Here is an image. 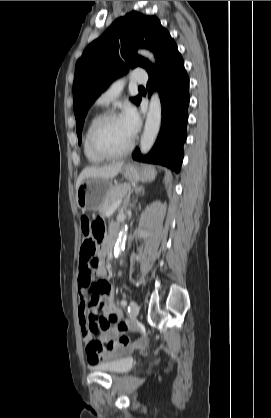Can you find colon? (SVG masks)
<instances>
[{"instance_id":"5ec220e1","label":"colon","mask_w":271,"mask_h":418,"mask_svg":"<svg viewBox=\"0 0 271 418\" xmlns=\"http://www.w3.org/2000/svg\"><path fill=\"white\" fill-rule=\"evenodd\" d=\"M80 222H81V228H82L84 237L88 238L89 241L95 242V254H96L99 245L103 242V239H104V224L101 220H91L88 217H82ZM85 266H89V262L85 263ZM119 329L121 331H126L127 324L121 323L119 325ZM92 332L93 334L97 335L99 333V330L97 327H93ZM120 341L124 344H127L129 343V337L126 335H123L120 338ZM91 347L93 349L98 348L99 344L97 342H93Z\"/></svg>"}]
</instances>
